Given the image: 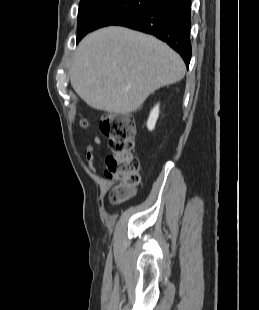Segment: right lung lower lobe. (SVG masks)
Wrapping results in <instances>:
<instances>
[{
    "mask_svg": "<svg viewBox=\"0 0 259 310\" xmlns=\"http://www.w3.org/2000/svg\"><path fill=\"white\" fill-rule=\"evenodd\" d=\"M190 10L191 0H157L114 25L156 36L178 52L188 67L192 54Z\"/></svg>",
    "mask_w": 259,
    "mask_h": 310,
    "instance_id": "1",
    "label": "right lung lower lobe"
}]
</instances>
